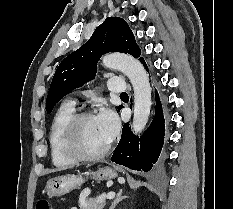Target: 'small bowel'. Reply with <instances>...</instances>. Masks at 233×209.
I'll return each instance as SVG.
<instances>
[{
  "label": "small bowel",
  "mask_w": 233,
  "mask_h": 209,
  "mask_svg": "<svg viewBox=\"0 0 233 209\" xmlns=\"http://www.w3.org/2000/svg\"><path fill=\"white\" fill-rule=\"evenodd\" d=\"M71 209H79L78 207H72Z\"/></svg>",
  "instance_id": "obj_1"
}]
</instances>
